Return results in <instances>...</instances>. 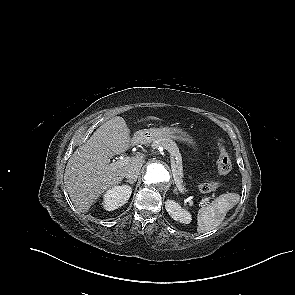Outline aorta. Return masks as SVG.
<instances>
[{
  "mask_svg": "<svg viewBox=\"0 0 295 295\" xmlns=\"http://www.w3.org/2000/svg\"><path fill=\"white\" fill-rule=\"evenodd\" d=\"M170 181L168 169L161 163H150L144 175V182L149 187L166 185Z\"/></svg>",
  "mask_w": 295,
  "mask_h": 295,
  "instance_id": "aorta-1",
  "label": "aorta"
}]
</instances>
